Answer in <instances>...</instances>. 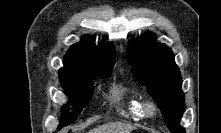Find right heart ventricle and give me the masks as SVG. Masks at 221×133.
<instances>
[{
  "label": "right heart ventricle",
  "instance_id": "e07e8e85",
  "mask_svg": "<svg viewBox=\"0 0 221 133\" xmlns=\"http://www.w3.org/2000/svg\"><path fill=\"white\" fill-rule=\"evenodd\" d=\"M113 101L118 104V112L130 119L140 120L144 116L140 99L123 86H117L112 92Z\"/></svg>",
  "mask_w": 221,
  "mask_h": 133
}]
</instances>
